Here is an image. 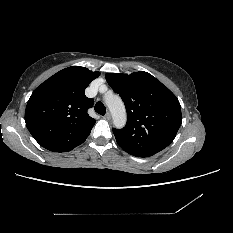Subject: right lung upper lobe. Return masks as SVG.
I'll return each instance as SVG.
<instances>
[{
    "label": "right lung upper lobe",
    "instance_id": "right-lung-upper-lobe-1",
    "mask_svg": "<svg viewBox=\"0 0 233 233\" xmlns=\"http://www.w3.org/2000/svg\"><path fill=\"white\" fill-rule=\"evenodd\" d=\"M100 75L85 67L65 68L37 87L25 110L26 126L34 139L53 152H68L82 144L95 119L87 111L93 100L84 90Z\"/></svg>",
    "mask_w": 233,
    "mask_h": 233
}]
</instances>
